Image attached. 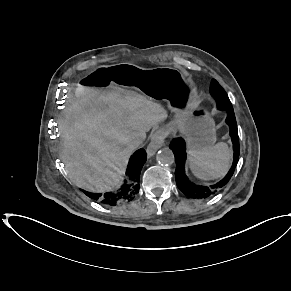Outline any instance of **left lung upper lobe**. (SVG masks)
<instances>
[{"label": "left lung upper lobe", "mask_w": 291, "mask_h": 291, "mask_svg": "<svg viewBox=\"0 0 291 291\" xmlns=\"http://www.w3.org/2000/svg\"><path fill=\"white\" fill-rule=\"evenodd\" d=\"M210 92L211 95L215 98V100L221 97L226 100L225 101L226 103L228 102L231 103L228 98V95L215 79L212 80Z\"/></svg>", "instance_id": "left-lung-upper-lobe-1"}]
</instances>
